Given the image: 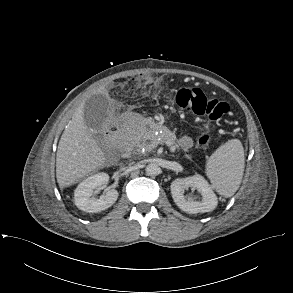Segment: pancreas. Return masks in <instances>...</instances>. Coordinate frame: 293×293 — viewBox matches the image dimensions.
Returning a JSON list of instances; mask_svg holds the SVG:
<instances>
[{"instance_id": "pancreas-1", "label": "pancreas", "mask_w": 293, "mask_h": 293, "mask_svg": "<svg viewBox=\"0 0 293 293\" xmlns=\"http://www.w3.org/2000/svg\"><path fill=\"white\" fill-rule=\"evenodd\" d=\"M155 130H147L145 127H142L137 133L136 138L132 141L136 143V147L138 151L145 149V152L150 151L151 149L157 147L158 144L163 143L165 138H161V140L154 139ZM133 138L125 137L122 140L131 141ZM149 140H151L149 142ZM179 145L183 147L182 143L179 142ZM185 151H188V148H184Z\"/></svg>"}]
</instances>
